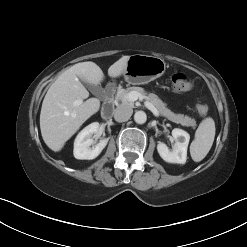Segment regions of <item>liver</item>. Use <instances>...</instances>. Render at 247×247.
<instances>
[{"label": "liver", "mask_w": 247, "mask_h": 247, "mask_svg": "<svg viewBox=\"0 0 247 247\" xmlns=\"http://www.w3.org/2000/svg\"><path fill=\"white\" fill-rule=\"evenodd\" d=\"M130 56H123L108 69L112 78L121 76ZM81 80L98 85L104 80V74L94 62H82L73 65L62 73L48 89L41 107L40 129L44 142L53 151H60L82 126V124L100 109L97 98H89V92ZM78 99H87L74 106Z\"/></svg>", "instance_id": "obj_1"}]
</instances>
